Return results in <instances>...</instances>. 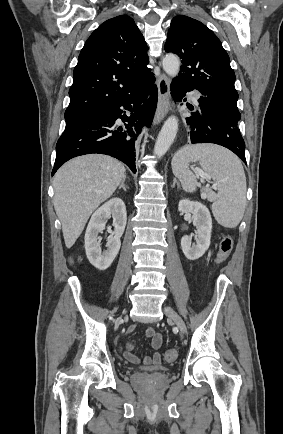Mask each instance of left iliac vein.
<instances>
[{
    "label": "left iliac vein",
    "mask_w": 283,
    "mask_h": 434,
    "mask_svg": "<svg viewBox=\"0 0 283 434\" xmlns=\"http://www.w3.org/2000/svg\"><path fill=\"white\" fill-rule=\"evenodd\" d=\"M164 313L168 319L172 320L176 324L181 333H186L187 328L185 322L171 307H164Z\"/></svg>",
    "instance_id": "4c4485c4"
}]
</instances>
